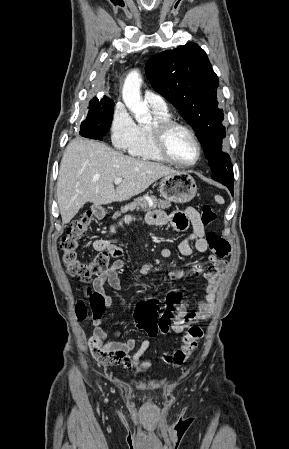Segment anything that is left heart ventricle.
I'll list each match as a JSON object with an SVG mask.
<instances>
[{"label":"left heart ventricle","instance_id":"obj_1","mask_svg":"<svg viewBox=\"0 0 289 449\" xmlns=\"http://www.w3.org/2000/svg\"><path fill=\"white\" fill-rule=\"evenodd\" d=\"M168 147L172 156L181 162L191 163L197 157L196 145L184 130L175 129L169 134Z\"/></svg>","mask_w":289,"mask_h":449}]
</instances>
